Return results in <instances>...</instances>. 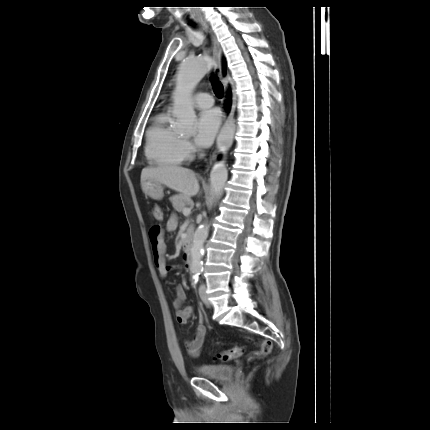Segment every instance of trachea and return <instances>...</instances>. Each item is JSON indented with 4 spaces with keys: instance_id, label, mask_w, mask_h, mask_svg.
I'll use <instances>...</instances> for the list:
<instances>
[{
    "instance_id": "1",
    "label": "trachea",
    "mask_w": 430,
    "mask_h": 430,
    "mask_svg": "<svg viewBox=\"0 0 430 430\" xmlns=\"http://www.w3.org/2000/svg\"><path fill=\"white\" fill-rule=\"evenodd\" d=\"M211 83H212V87H213L214 93L218 97H222V95H223V85L219 81V79L217 78V76H215V75L211 76Z\"/></svg>"
}]
</instances>
